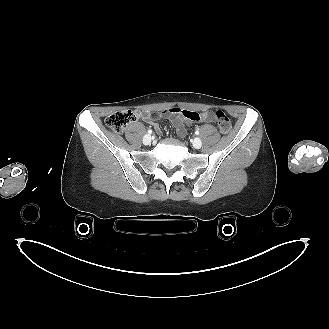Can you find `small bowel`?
Masks as SVG:
<instances>
[{"label":"small bowel","instance_id":"small-bowel-1","mask_svg":"<svg viewBox=\"0 0 329 329\" xmlns=\"http://www.w3.org/2000/svg\"><path fill=\"white\" fill-rule=\"evenodd\" d=\"M161 117L168 119L171 124L176 128L177 133L180 136L186 134V128L191 126L193 123H209L213 122L211 112L205 111L201 113L192 112L186 109L178 107L171 108L160 114ZM137 117L142 118L145 122L153 123V119L150 113H137ZM157 132L160 129L155 125Z\"/></svg>","mask_w":329,"mask_h":329}]
</instances>
